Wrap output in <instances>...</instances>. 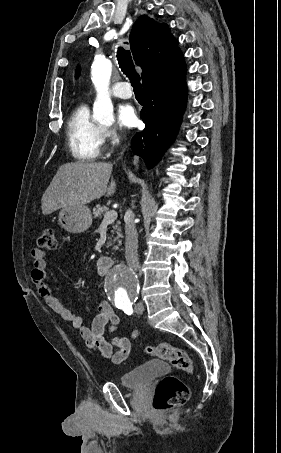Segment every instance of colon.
<instances>
[{
	"instance_id": "5ec220e1",
	"label": "colon",
	"mask_w": 281,
	"mask_h": 453,
	"mask_svg": "<svg viewBox=\"0 0 281 453\" xmlns=\"http://www.w3.org/2000/svg\"><path fill=\"white\" fill-rule=\"evenodd\" d=\"M58 231L59 228L57 226L44 227L43 234L37 242V245L41 246V250L55 249ZM148 353L178 368L187 376H193L197 371L188 354L172 345H153L148 348ZM189 397V389L182 381L180 375L166 374L155 386L152 405L155 411L164 413L186 403Z\"/></svg>"
}]
</instances>
